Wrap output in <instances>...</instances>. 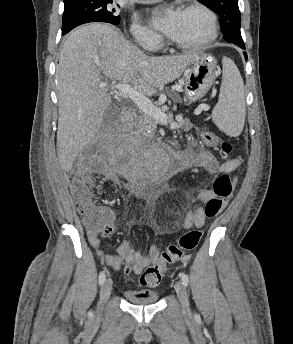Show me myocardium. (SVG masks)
<instances>
[{
    "label": "myocardium",
    "instance_id": "1",
    "mask_svg": "<svg viewBox=\"0 0 293 344\" xmlns=\"http://www.w3.org/2000/svg\"><path fill=\"white\" fill-rule=\"evenodd\" d=\"M198 10L205 14L209 21V32L205 38L196 42H180L167 37L168 45L181 50L202 49L212 44L218 37L219 27L215 12L208 6L199 2H190L179 8V11Z\"/></svg>",
    "mask_w": 293,
    "mask_h": 344
}]
</instances>
